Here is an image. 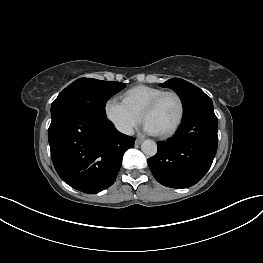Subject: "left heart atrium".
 Listing matches in <instances>:
<instances>
[{
    "instance_id": "obj_1",
    "label": "left heart atrium",
    "mask_w": 263,
    "mask_h": 263,
    "mask_svg": "<svg viewBox=\"0 0 263 263\" xmlns=\"http://www.w3.org/2000/svg\"><path fill=\"white\" fill-rule=\"evenodd\" d=\"M144 131L147 134H151V135H157L158 134V132L147 122H145V124H144Z\"/></svg>"
}]
</instances>
